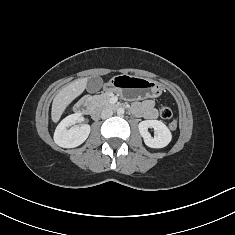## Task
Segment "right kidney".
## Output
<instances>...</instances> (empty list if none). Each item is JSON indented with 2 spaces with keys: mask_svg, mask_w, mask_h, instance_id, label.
<instances>
[{
  "mask_svg": "<svg viewBox=\"0 0 235 235\" xmlns=\"http://www.w3.org/2000/svg\"><path fill=\"white\" fill-rule=\"evenodd\" d=\"M80 118V114L75 113L67 116L60 122L54 133V141L58 146L74 148L81 145L88 138L91 130L88 124L68 129L70 125L78 123Z\"/></svg>",
  "mask_w": 235,
  "mask_h": 235,
  "instance_id": "1",
  "label": "right kidney"
}]
</instances>
